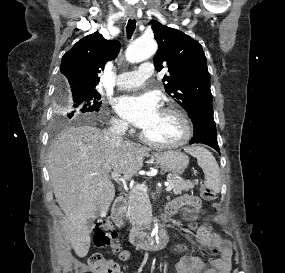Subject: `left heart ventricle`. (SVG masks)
I'll return each instance as SVG.
<instances>
[{
	"label": "left heart ventricle",
	"instance_id": "obj_1",
	"mask_svg": "<svg viewBox=\"0 0 285 273\" xmlns=\"http://www.w3.org/2000/svg\"><path fill=\"white\" fill-rule=\"evenodd\" d=\"M142 131L154 141L169 142L178 139L182 135L183 128L175 115L160 111L156 120Z\"/></svg>",
	"mask_w": 285,
	"mask_h": 273
}]
</instances>
